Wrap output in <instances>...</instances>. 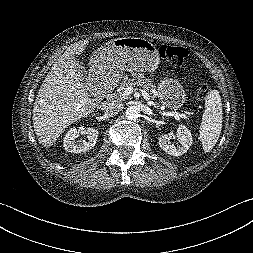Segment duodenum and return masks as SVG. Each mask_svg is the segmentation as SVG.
Segmentation results:
<instances>
[{
    "label": "duodenum",
    "instance_id": "1",
    "mask_svg": "<svg viewBox=\"0 0 253 253\" xmlns=\"http://www.w3.org/2000/svg\"><path fill=\"white\" fill-rule=\"evenodd\" d=\"M111 95H112L111 91L108 89H105L104 91H102V93L100 95V103L103 106L107 105L112 99Z\"/></svg>",
    "mask_w": 253,
    "mask_h": 253
}]
</instances>
